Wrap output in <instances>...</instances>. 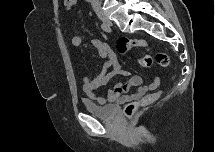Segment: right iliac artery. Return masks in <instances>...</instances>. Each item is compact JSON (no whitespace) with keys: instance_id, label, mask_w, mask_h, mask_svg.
<instances>
[{"instance_id":"right-iliac-artery-1","label":"right iliac artery","mask_w":215,"mask_h":152,"mask_svg":"<svg viewBox=\"0 0 215 152\" xmlns=\"http://www.w3.org/2000/svg\"><path fill=\"white\" fill-rule=\"evenodd\" d=\"M101 28L105 31V32H111V28L109 27V25L102 23L101 24Z\"/></svg>"}]
</instances>
